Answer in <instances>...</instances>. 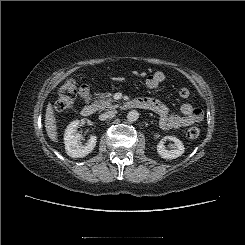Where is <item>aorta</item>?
<instances>
[{"instance_id": "1", "label": "aorta", "mask_w": 245, "mask_h": 245, "mask_svg": "<svg viewBox=\"0 0 245 245\" xmlns=\"http://www.w3.org/2000/svg\"><path fill=\"white\" fill-rule=\"evenodd\" d=\"M139 118V113L136 110H131L127 114V120L130 122H134Z\"/></svg>"}]
</instances>
